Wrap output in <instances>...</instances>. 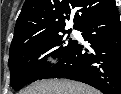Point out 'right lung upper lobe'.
<instances>
[{
  "label": "right lung upper lobe",
  "mask_w": 121,
  "mask_h": 94,
  "mask_svg": "<svg viewBox=\"0 0 121 94\" xmlns=\"http://www.w3.org/2000/svg\"><path fill=\"white\" fill-rule=\"evenodd\" d=\"M113 3L114 0H26L16 21L11 45L30 32L64 30L73 10H76L74 29H77L85 19Z\"/></svg>",
  "instance_id": "obj_1"
}]
</instances>
